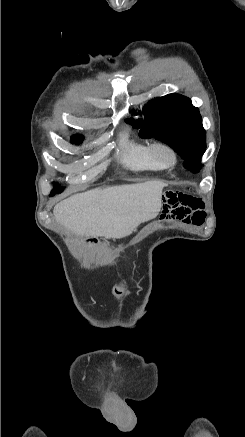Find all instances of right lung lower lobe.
<instances>
[{
	"label": "right lung lower lobe",
	"instance_id": "obj_1",
	"mask_svg": "<svg viewBox=\"0 0 245 437\" xmlns=\"http://www.w3.org/2000/svg\"><path fill=\"white\" fill-rule=\"evenodd\" d=\"M59 192H62V191H61V190L58 191V190L54 189V190L51 192L50 196H53L55 193H59Z\"/></svg>",
	"mask_w": 245,
	"mask_h": 437
}]
</instances>
